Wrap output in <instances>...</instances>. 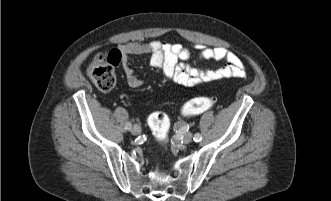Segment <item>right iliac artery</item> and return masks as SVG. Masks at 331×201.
I'll return each instance as SVG.
<instances>
[{
    "instance_id": "1",
    "label": "right iliac artery",
    "mask_w": 331,
    "mask_h": 201,
    "mask_svg": "<svg viewBox=\"0 0 331 201\" xmlns=\"http://www.w3.org/2000/svg\"><path fill=\"white\" fill-rule=\"evenodd\" d=\"M131 128H132V124H131L130 122H127V123L125 124V129H126V130H131Z\"/></svg>"
}]
</instances>
